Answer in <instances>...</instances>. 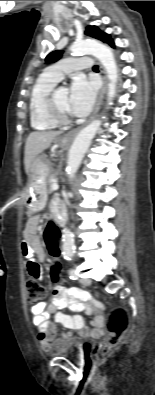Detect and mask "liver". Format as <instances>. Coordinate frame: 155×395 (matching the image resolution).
<instances>
[{
	"instance_id": "1",
	"label": "liver",
	"mask_w": 155,
	"mask_h": 395,
	"mask_svg": "<svg viewBox=\"0 0 155 395\" xmlns=\"http://www.w3.org/2000/svg\"><path fill=\"white\" fill-rule=\"evenodd\" d=\"M61 134L60 131L32 132L25 144V172L30 175L31 167L37 156L50 147L53 140Z\"/></svg>"
}]
</instances>
